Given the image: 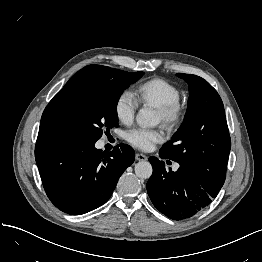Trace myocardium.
I'll return each mask as SVG.
<instances>
[{
	"instance_id": "f54148a6",
	"label": "myocardium",
	"mask_w": 262,
	"mask_h": 262,
	"mask_svg": "<svg viewBox=\"0 0 262 262\" xmlns=\"http://www.w3.org/2000/svg\"><path fill=\"white\" fill-rule=\"evenodd\" d=\"M156 109L160 116L162 125L170 131L179 128L183 124L186 117L185 105L179 100L161 105Z\"/></svg>"
}]
</instances>
